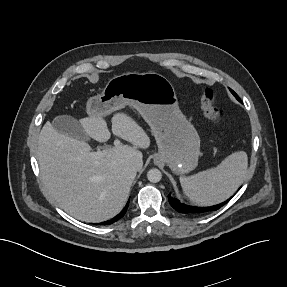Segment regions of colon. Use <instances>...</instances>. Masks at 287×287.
Returning a JSON list of instances; mask_svg holds the SVG:
<instances>
[{
	"label": "colon",
	"instance_id": "colon-1",
	"mask_svg": "<svg viewBox=\"0 0 287 287\" xmlns=\"http://www.w3.org/2000/svg\"><path fill=\"white\" fill-rule=\"evenodd\" d=\"M200 105L204 116L212 123H219L223 113L220 108L213 103V94L210 89H204L200 97Z\"/></svg>",
	"mask_w": 287,
	"mask_h": 287
}]
</instances>
